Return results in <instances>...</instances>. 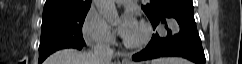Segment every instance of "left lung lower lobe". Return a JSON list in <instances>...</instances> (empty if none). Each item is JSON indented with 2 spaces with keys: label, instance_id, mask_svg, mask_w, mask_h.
<instances>
[{
  "label": "left lung lower lobe",
  "instance_id": "0a47b994",
  "mask_svg": "<svg viewBox=\"0 0 242 64\" xmlns=\"http://www.w3.org/2000/svg\"><path fill=\"white\" fill-rule=\"evenodd\" d=\"M167 20L177 23L180 30L174 34L170 29L166 37L153 34L145 49L132 56L134 61H144L159 57L179 56L196 64H205V55L201 39L197 32L193 15L192 0L174 5L163 11L156 20L152 21L153 29ZM165 28L168 29L167 25Z\"/></svg>",
  "mask_w": 242,
  "mask_h": 64
}]
</instances>
